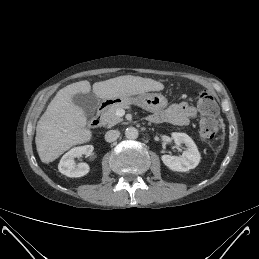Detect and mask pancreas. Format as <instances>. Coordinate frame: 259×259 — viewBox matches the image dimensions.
I'll return each mask as SVG.
<instances>
[{"label": "pancreas", "mask_w": 259, "mask_h": 259, "mask_svg": "<svg viewBox=\"0 0 259 259\" xmlns=\"http://www.w3.org/2000/svg\"><path fill=\"white\" fill-rule=\"evenodd\" d=\"M130 108L129 105H113L110 106L106 111L102 112L100 115V119L102 122V125L107 126V127H112L121 121L123 119L119 116H117L116 111L118 109H128Z\"/></svg>", "instance_id": "cf45deb5"}]
</instances>
